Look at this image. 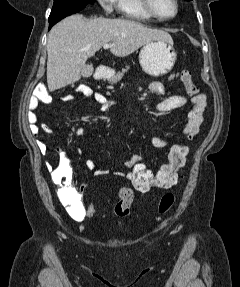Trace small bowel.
I'll return each mask as SVG.
<instances>
[{
	"instance_id": "small-bowel-1",
	"label": "small bowel",
	"mask_w": 240,
	"mask_h": 287,
	"mask_svg": "<svg viewBox=\"0 0 240 287\" xmlns=\"http://www.w3.org/2000/svg\"><path fill=\"white\" fill-rule=\"evenodd\" d=\"M149 89L151 92L158 95H164L165 93L164 86L159 82H152L149 85ZM78 91L88 98H94L103 112H108L116 104L115 101L106 98L103 94L93 92L92 89L86 85L79 86ZM47 100L48 97H46L45 101ZM61 100L63 102H70L74 100V96L72 94H65L61 97ZM188 101L191 102V110L187 114L182 132L187 135L189 139H193L198 134L200 127L204 122V112L207 108V99L204 94H197L190 98L183 94L168 96L158 103L157 110L162 113H169L182 108ZM38 103L39 100L35 96H33L29 101L27 118L31 123V132L34 136H38L40 131L46 134H52L54 130L50 125L43 123L38 126L36 124L38 118L35 110L38 107ZM74 131L76 135L86 138V133L83 129L76 127ZM151 142L155 147L161 148L167 145L168 140L162 137L153 136L151 138ZM38 147L43 154L47 152V145L43 140H38ZM75 152L79 156H83V151L81 148L75 147ZM59 155L60 159L68 161L66 154L62 150H59ZM140 161H143V157L139 154L132 153L124 161L123 165L126 169L130 170L134 164ZM85 164L89 170L94 171L95 176H105L110 173V170L108 169H96V163L90 157L86 159ZM128 172L129 171L117 170L114 171L113 174L117 177L128 179ZM82 186L84 189L85 185ZM60 199L63 206L74 220L78 222L84 220L86 217V210L79 191H77L75 188L62 190L60 193Z\"/></svg>"
}]
</instances>
